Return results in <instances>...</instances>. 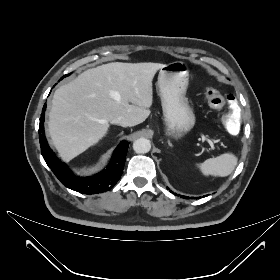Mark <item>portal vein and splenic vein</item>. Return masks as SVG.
<instances>
[{
	"label": "portal vein and splenic vein",
	"mask_w": 280,
	"mask_h": 280,
	"mask_svg": "<svg viewBox=\"0 0 280 280\" xmlns=\"http://www.w3.org/2000/svg\"><path fill=\"white\" fill-rule=\"evenodd\" d=\"M202 138L205 139L206 141H208V143L210 144V146L212 148L214 147L212 140H210L209 138L205 137L204 135H202Z\"/></svg>",
	"instance_id": "portal-vein-and-splenic-vein-1"
}]
</instances>
